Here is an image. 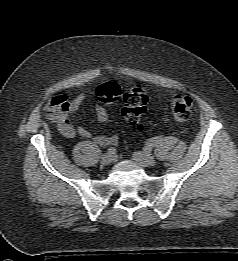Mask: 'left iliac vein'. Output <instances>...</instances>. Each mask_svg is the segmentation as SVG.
<instances>
[{
	"instance_id": "1",
	"label": "left iliac vein",
	"mask_w": 238,
	"mask_h": 261,
	"mask_svg": "<svg viewBox=\"0 0 238 261\" xmlns=\"http://www.w3.org/2000/svg\"><path fill=\"white\" fill-rule=\"evenodd\" d=\"M133 159L143 167L152 166L155 164V157L148 152H134Z\"/></svg>"
}]
</instances>
